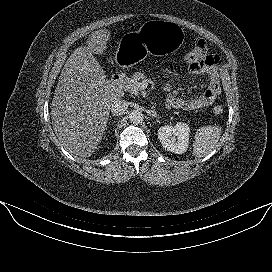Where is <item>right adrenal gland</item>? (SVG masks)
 <instances>
[{"mask_svg": "<svg viewBox=\"0 0 272 272\" xmlns=\"http://www.w3.org/2000/svg\"><path fill=\"white\" fill-rule=\"evenodd\" d=\"M113 116H114V115H110V119H112ZM110 119H108V121H109Z\"/></svg>", "mask_w": 272, "mask_h": 272, "instance_id": "right-adrenal-gland-1", "label": "right adrenal gland"}]
</instances>
